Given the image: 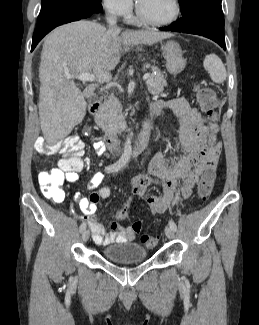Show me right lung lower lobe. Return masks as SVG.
Listing matches in <instances>:
<instances>
[{"label":"right lung lower lobe","instance_id":"98d812e1","mask_svg":"<svg viewBox=\"0 0 259 325\" xmlns=\"http://www.w3.org/2000/svg\"><path fill=\"white\" fill-rule=\"evenodd\" d=\"M97 13L84 11L75 7H66L54 10L37 22L33 34L31 51L34 50L39 41L55 27L80 19L90 18Z\"/></svg>","mask_w":259,"mask_h":325}]
</instances>
